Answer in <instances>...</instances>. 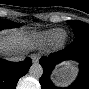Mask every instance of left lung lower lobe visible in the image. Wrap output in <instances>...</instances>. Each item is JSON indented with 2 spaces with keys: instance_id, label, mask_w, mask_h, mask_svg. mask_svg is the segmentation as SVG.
Instances as JSON below:
<instances>
[{
  "instance_id": "obj_1",
  "label": "left lung lower lobe",
  "mask_w": 89,
  "mask_h": 89,
  "mask_svg": "<svg viewBox=\"0 0 89 89\" xmlns=\"http://www.w3.org/2000/svg\"><path fill=\"white\" fill-rule=\"evenodd\" d=\"M75 37L74 41L64 50L40 59L43 75L39 81L42 89H59L50 81V74L55 64L69 58L80 62V73L76 81L64 89H89V36L81 34Z\"/></svg>"
}]
</instances>
